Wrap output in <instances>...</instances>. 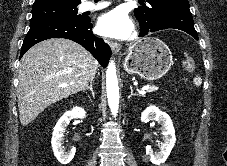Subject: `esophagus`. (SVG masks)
<instances>
[{
    "label": "esophagus",
    "mask_w": 227,
    "mask_h": 166,
    "mask_svg": "<svg viewBox=\"0 0 227 166\" xmlns=\"http://www.w3.org/2000/svg\"><path fill=\"white\" fill-rule=\"evenodd\" d=\"M109 46L114 53H118L121 49V46L117 42H109Z\"/></svg>",
    "instance_id": "34e87169"
}]
</instances>
